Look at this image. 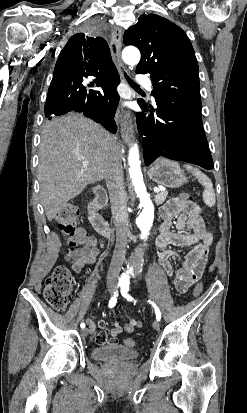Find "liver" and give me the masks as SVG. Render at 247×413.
I'll return each instance as SVG.
<instances>
[{
  "instance_id": "6515ba94",
  "label": "liver",
  "mask_w": 247,
  "mask_h": 413,
  "mask_svg": "<svg viewBox=\"0 0 247 413\" xmlns=\"http://www.w3.org/2000/svg\"><path fill=\"white\" fill-rule=\"evenodd\" d=\"M111 144L108 130L81 114L57 116L44 124L37 176L48 221L87 184L104 178Z\"/></svg>"
}]
</instances>
